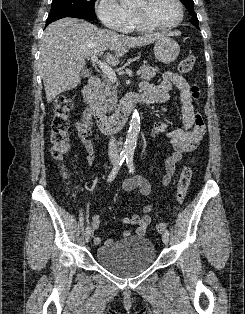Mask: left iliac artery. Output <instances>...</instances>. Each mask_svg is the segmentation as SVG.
Returning a JSON list of instances; mask_svg holds the SVG:
<instances>
[{
	"label": "left iliac artery",
	"instance_id": "obj_1",
	"mask_svg": "<svg viewBox=\"0 0 245 314\" xmlns=\"http://www.w3.org/2000/svg\"><path fill=\"white\" fill-rule=\"evenodd\" d=\"M126 163H127V167L129 169L130 173H134L135 166H134V163H133V154L130 153V154L127 155ZM164 233L169 235V231L167 229H165Z\"/></svg>",
	"mask_w": 245,
	"mask_h": 314
}]
</instances>
